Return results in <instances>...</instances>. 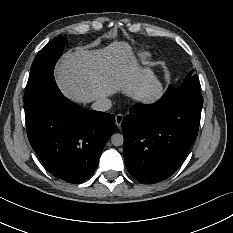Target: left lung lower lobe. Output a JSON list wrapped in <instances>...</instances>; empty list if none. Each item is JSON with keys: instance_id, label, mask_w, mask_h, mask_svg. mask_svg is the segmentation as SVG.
I'll return each mask as SVG.
<instances>
[{"instance_id": "0a47b994", "label": "left lung lower lobe", "mask_w": 233, "mask_h": 233, "mask_svg": "<svg viewBox=\"0 0 233 233\" xmlns=\"http://www.w3.org/2000/svg\"><path fill=\"white\" fill-rule=\"evenodd\" d=\"M203 98L171 92L157 102L135 104L124 117V160L139 182L157 183L170 177L197 137Z\"/></svg>"}]
</instances>
